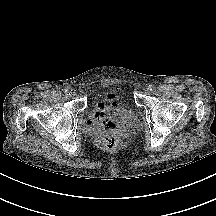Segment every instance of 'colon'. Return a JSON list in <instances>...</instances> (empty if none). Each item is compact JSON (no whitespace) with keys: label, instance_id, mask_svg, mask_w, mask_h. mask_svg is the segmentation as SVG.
<instances>
[{"label":"colon","instance_id":"5ec220e1","mask_svg":"<svg viewBox=\"0 0 216 216\" xmlns=\"http://www.w3.org/2000/svg\"><path fill=\"white\" fill-rule=\"evenodd\" d=\"M123 146V140L120 136L112 134L103 139V147L107 151H117Z\"/></svg>","mask_w":216,"mask_h":216}]
</instances>
